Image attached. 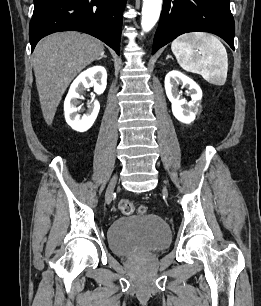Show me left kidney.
Instances as JSON below:
<instances>
[{
    "mask_svg": "<svg viewBox=\"0 0 261 306\" xmlns=\"http://www.w3.org/2000/svg\"><path fill=\"white\" fill-rule=\"evenodd\" d=\"M181 84L188 87L191 101L187 102L185 99L180 98L178 86ZM165 90L172 104V113L175 118L185 124L193 122L199 111L202 99V90L199 85L184 74L178 71H171L165 77Z\"/></svg>",
    "mask_w": 261,
    "mask_h": 306,
    "instance_id": "obj_1",
    "label": "left kidney"
}]
</instances>
